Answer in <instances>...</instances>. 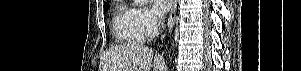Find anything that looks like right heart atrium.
<instances>
[{"label":"right heart atrium","instance_id":"d8ad5b80","mask_svg":"<svg viewBox=\"0 0 301 71\" xmlns=\"http://www.w3.org/2000/svg\"><path fill=\"white\" fill-rule=\"evenodd\" d=\"M136 18L145 37L154 36L161 26V18L148 7L137 8Z\"/></svg>","mask_w":301,"mask_h":71}]
</instances>
